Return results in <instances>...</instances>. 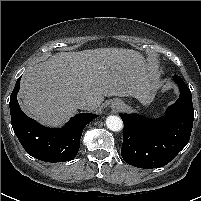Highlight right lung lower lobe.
<instances>
[{
    "mask_svg": "<svg viewBox=\"0 0 201 201\" xmlns=\"http://www.w3.org/2000/svg\"><path fill=\"white\" fill-rule=\"evenodd\" d=\"M19 77L10 97L11 123L15 135L25 151L32 157L45 162H65L78 153L84 127L98 115L76 114L62 128H47L26 116L20 109L17 93Z\"/></svg>",
    "mask_w": 201,
    "mask_h": 201,
    "instance_id": "obj_1",
    "label": "right lung lower lobe"
}]
</instances>
